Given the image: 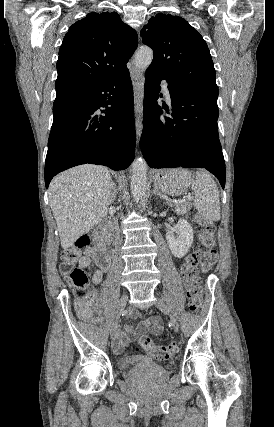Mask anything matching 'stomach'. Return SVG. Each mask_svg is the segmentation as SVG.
Masks as SVG:
<instances>
[{
	"label": "stomach",
	"mask_w": 274,
	"mask_h": 427,
	"mask_svg": "<svg viewBox=\"0 0 274 427\" xmlns=\"http://www.w3.org/2000/svg\"><path fill=\"white\" fill-rule=\"evenodd\" d=\"M154 186L168 196H183L188 192L193 176L189 170H153Z\"/></svg>",
	"instance_id": "stomach-1"
}]
</instances>
